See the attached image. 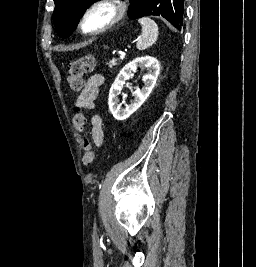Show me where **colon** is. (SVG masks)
<instances>
[{
	"instance_id": "obj_1",
	"label": "colon",
	"mask_w": 256,
	"mask_h": 267,
	"mask_svg": "<svg viewBox=\"0 0 256 267\" xmlns=\"http://www.w3.org/2000/svg\"><path fill=\"white\" fill-rule=\"evenodd\" d=\"M95 65V59L91 56L74 59L66 63L67 80L70 90L73 94L80 93L85 87V77ZM73 122L75 129L84 133L87 126L86 114L78 105L73 108ZM83 163L86 167H90L94 161V151L92 150L88 139L83 140Z\"/></svg>"
}]
</instances>
